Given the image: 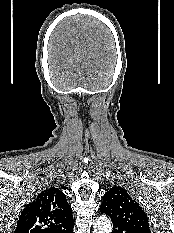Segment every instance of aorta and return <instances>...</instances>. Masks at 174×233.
Listing matches in <instances>:
<instances>
[{
  "label": "aorta",
  "instance_id": "1",
  "mask_svg": "<svg viewBox=\"0 0 174 233\" xmlns=\"http://www.w3.org/2000/svg\"><path fill=\"white\" fill-rule=\"evenodd\" d=\"M112 226L110 220L106 216H100L95 224L93 233H111Z\"/></svg>",
  "mask_w": 174,
  "mask_h": 233
}]
</instances>
